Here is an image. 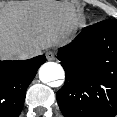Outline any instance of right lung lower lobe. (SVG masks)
<instances>
[{
  "label": "right lung lower lobe",
  "instance_id": "right-lung-lower-lobe-1",
  "mask_svg": "<svg viewBox=\"0 0 117 117\" xmlns=\"http://www.w3.org/2000/svg\"><path fill=\"white\" fill-rule=\"evenodd\" d=\"M44 62V55L21 61H0V117H18L26 89Z\"/></svg>",
  "mask_w": 117,
  "mask_h": 117
}]
</instances>
